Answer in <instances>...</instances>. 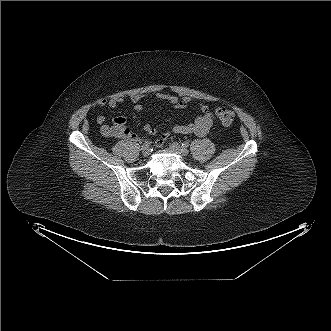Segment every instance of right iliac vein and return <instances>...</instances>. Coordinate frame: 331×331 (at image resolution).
Returning a JSON list of instances; mask_svg holds the SVG:
<instances>
[{
  "label": "right iliac vein",
  "instance_id": "1",
  "mask_svg": "<svg viewBox=\"0 0 331 331\" xmlns=\"http://www.w3.org/2000/svg\"><path fill=\"white\" fill-rule=\"evenodd\" d=\"M142 155H143L144 157L149 156V155H150V149H149L148 147L142 149Z\"/></svg>",
  "mask_w": 331,
  "mask_h": 331
}]
</instances>
